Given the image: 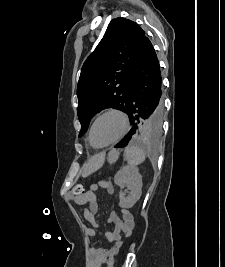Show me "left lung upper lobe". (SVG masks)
I'll return each mask as SVG.
<instances>
[{
  "label": "left lung upper lobe",
  "mask_w": 225,
  "mask_h": 267,
  "mask_svg": "<svg viewBox=\"0 0 225 267\" xmlns=\"http://www.w3.org/2000/svg\"><path fill=\"white\" fill-rule=\"evenodd\" d=\"M146 38L144 30L131 20L119 17L109 23L81 69L77 86L79 137L101 110L112 107L127 113L134 72ZM161 127L162 124L157 126L149 117L138 122L136 131L153 137L160 133Z\"/></svg>",
  "instance_id": "left-lung-upper-lobe-1"
}]
</instances>
